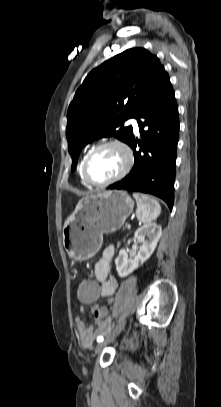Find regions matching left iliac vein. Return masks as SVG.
Returning <instances> with one entry per match:
<instances>
[{
    "label": "left iliac vein",
    "instance_id": "4c4485c4",
    "mask_svg": "<svg viewBox=\"0 0 221 407\" xmlns=\"http://www.w3.org/2000/svg\"><path fill=\"white\" fill-rule=\"evenodd\" d=\"M124 325H125V321H123V322L116 328V330L113 331V333L108 334L107 337H106V339H105L104 341L99 342L98 345L96 346L95 354L99 353V352L103 349V347H104L105 345H107L112 339H114V338L121 332V330L123 329Z\"/></svg>",
    "mask_w": 221,
    "mask_h": 407
}]
</instances>
